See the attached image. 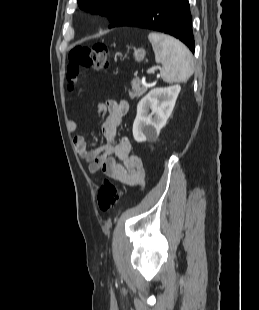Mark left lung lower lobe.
Returning <instances> with one entry per match:
<instances>
[{"label":"left lung lower lobe","mask_w":259,"mask_h":310,"mask_svg":"<svg viewBox=\"0 0 259 310\" xmlns=\"http://www.w3.org/2000/svg\"><path fill=\"white\" fill-rule=\"evenodd\" d=\"M118 26H134L170 34L194 53L195 42L188 0H150L130 11L113 27Z\"/></svg>","instance_id":"1"}]
</instances>
